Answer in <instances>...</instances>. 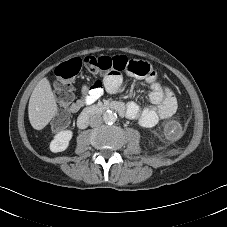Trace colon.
<instances>
[{
  "instance_id": "colon-1",
  "label": "colon",
  "mask_w": 227,
  "mask_h": 227,
  "mask_svg": "<svg viewBox=\"0 0 227 227\" xmlns=\"http://www.w3.org/2000/svg\"><path fill=\"white\" fill-rule=\"evenodd\" d=\"M85 67L90 73L116 76L125 72L147 77L155 74L153 67L145 61H139L132 57L117 56H86L85 58H73L59 65L54 70V75L59 82V95L62 101L68 105L72 100L73 81ZM99 83L96 82L95 86ZM70 112L66 109L54 122L55 130L63 129L69 122Z\"/></svg>"
}]
</instances>
